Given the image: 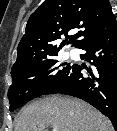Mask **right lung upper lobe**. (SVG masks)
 <instances>
[{
    "label": "right lung upper lobe",
    "instance_id": "cb5924a9",
    "mask_svg": "<svg viewBox=\"0 0 117 131\" xmlns=\"http://www.w3.org/2000/svg\"><path fill=\"white\" fill-rule=\"evenodd\" d=\"M117 28L108 0H45L30 16L11 70L37 62L66 44L81 48ZM79 30L74 35L68 32ZM65 36V40H57Z\"/></svg>",
    "mask_w": 117,
    "mask_h": 131
}]
</instances>
